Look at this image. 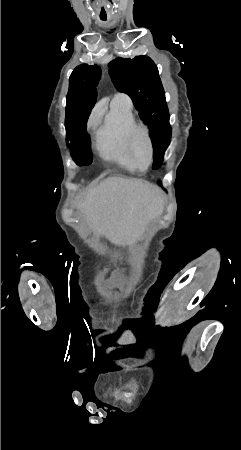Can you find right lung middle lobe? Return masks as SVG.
Returning a JSON list of instances; mask_svg holds the SVG:
<instances>
[{
  "mask_svg": "<svg viewBox=\"0 0 241 450\" xmlns=\"http://www.w3.org/2000/svg\"><path fill=\"white\" fill-rule=\"evenodd\" d=\"M99 80L100 76L88 73H78L70 77L65 120L68 138L77 118L93 108L96 102V86ZM72 157L80 166L89 165L92 162L90 147L74 152Z\"/></svg>",
  "mask_w": 241,
  "mask_h": 450,
  "instance_id": "1",
  "label": "right lung middle lobe"
}]
</instances>
